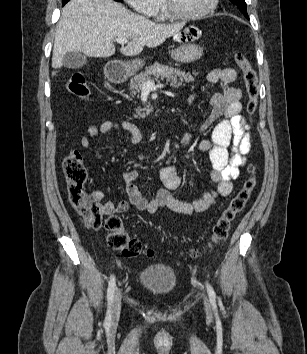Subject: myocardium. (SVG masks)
Returning a JSON list of instances; mask_svg holds the SVG:
<instances>
[{"instance_id":"1","label":"myocardium","mask_w":307,"mask_h":354,"mask_svg":"<svg viewBox=\"0 0 307 354\" xmlns=\"http://www.w3.org/2000/svg\"><path fill=\"white\" fill-rule=\"evenodd\" d=\"M163 2V7L168 15V17L176 20H200L203 18H206L210 14H212L218 7L219 0H211L210 4L208 7L199 13L195 14H186L180 12L172 3V0H162Z\"/></svg>"}]
</instances>
